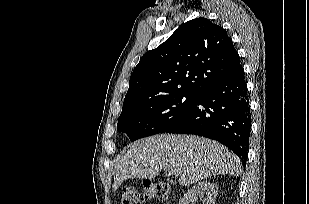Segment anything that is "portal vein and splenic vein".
<instances>
[{
  "label": "portal vein and splenic vein",
  "mask_w": 309,
  "mask_h": 204,
  "mask_svg": "<svg viewBox=\"0 0 309 204\" xmlns=\"http://www.w3.org/2000/svg\"><path fill=\"white\" fill-rule=\"evenodd\" d=\"M167 173H168V175H177L176 171L172 168H167Z\"/></svg>",
  "instance_id": "18ae733b"
}]
</instances>
